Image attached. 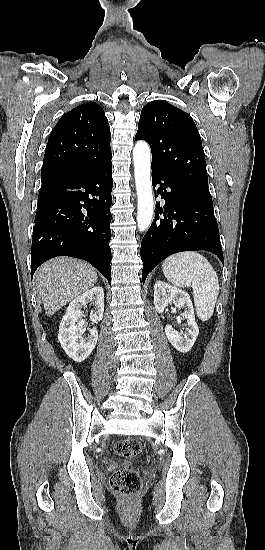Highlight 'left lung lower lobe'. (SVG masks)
Masks as SVG:
<instances>
[{
  "label": "left lung lower lobe",
  "mask_w": 265,
  "mask_h": 550,
  "mask_svg": "<svg viewBox=\"0 0 265 550\" xmlns=\"http://www.w3.org/2000/svg\"><path fill=\"white\" fill-rule=\"evenodd\" d=\"M152 185H160L164 207L156 203L155 219L142 239V281L166 257L181 251L206 250L224 263L212 197L178 183L152 166ZM159 214H162L159 216Z\"/></svg>",
  "instance_id": "left-lung-lower-lobe-1"
}]
</instances>
